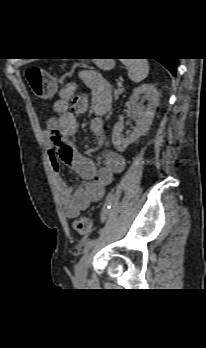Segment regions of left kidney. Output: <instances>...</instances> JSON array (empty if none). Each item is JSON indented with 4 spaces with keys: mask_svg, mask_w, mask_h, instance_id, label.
Here are the masks:
<instances>
[{
    "mask_svg": "<svg viewBox=\"0 0 206 348\" xmlns=\"http://www.w3.org/2000/svg\"><path fill=\"white\" fill-rule=\"evenodd\" d=\"M141 95L142 101H148L147 105H143L142 102L138 103ZM130 102L136 119V126L131 133L126 132L124 135L122 134L123 122L119 121L115 124L112 132V143L119 152H123L131 143L149 131L159 104L158 91L152 84H142L133 90Z\"/></svg>",
    "mask_w": 206,
    "mask_h": 348,
    "instance_id": "left-kidney-1",
    "label": "left kidney"
}]
</instances>
